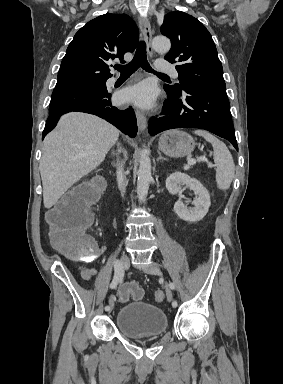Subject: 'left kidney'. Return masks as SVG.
I'll return each mask as SVG.
<instances>
[{
    "instance_id": "left-kidney-1",
    "label": "left kidney",
    "mask_w": 283,
    "mask_h": 384,
    "mask_svg": "<svg viewBox=\"0 0 283 384\" xmlns=\"http://www.w3.org/2000/svg\"><path fill=\"white\" fill-rule=\"evenodd\" d=\"M182 186L190 188V190H193V192L197 194L198 198H195L194 202H192L195 208H187L181 200H178V202L174 204V212L181 220H185V222H200V220H203L204 216H206L211 206L209 192L200 184L199 180L190 178L187 174L174 172V174L168 176L166 188L170 194H178V192L182 190Z\"/></svg>"
}]
</instances>
